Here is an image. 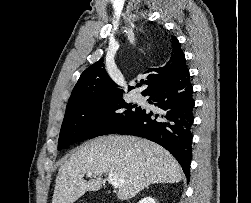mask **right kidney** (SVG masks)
Returning <instances> with one entry per match:
<instances>
[{
	"label": "right kidney",
	"mask_w": 251,
	"mask_h": 203,
	"mask_svg": "<svg viewBox=\"0 0 251 203\" xmlns=\"http://www.w3.org/2000/svg\"><path fill=\"white\" fill-rule=\"evenodd\" d=\"M138 203H156L155 200L151 197H146L141 199Z\"/></svg>",
	"instance_id": "ca27d5eb"
}]
</instances>
